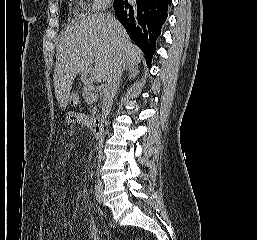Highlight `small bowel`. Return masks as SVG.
Here are the masks:
<instances>
[{"mask_svg":"<svg viewBox=\"0 0 257 240\" xmlns=\"http://www.w3.org/2000/svg\"><path fill=\"white\" fill-rule=\"evenodd\" d=\"M61 225L63 228H68L70 226V221L64 219V220H62Z\"/></svg>","mask_w":257,"mask_h":240,"instance_id":"1","label":"small bowel"}]
</instances>
